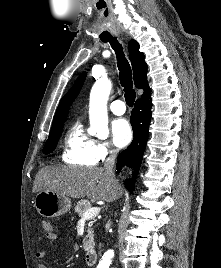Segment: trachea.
<instances>
[{
	"label": "trachea",
	"instance_id": "3493384b",
	"mask_svg": "<svg viewBox=\"0 0 221 268\" xmlns=\"http://www.w3.org/2000/svg\"><path fill=\"white\" fill-rule=\"evenodd\" d=\"M103 42H109L111 47L115 51L118 61L120 83L124 87L125 91V100L128 106L133 107L136 94L135 91L132 89V70L129 62L124 56L123 47L116 38L103 40Z\"/></svg>",
	"mask_w": 221,
	"mask_h": 268
}]
</instances>
